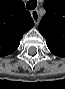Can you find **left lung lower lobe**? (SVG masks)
<instances>
[{
	"instance_id": "0a47b994",
	"label": "left lung lower lobe",
	"mask_w": 65,
	"mask_h": 89,
	"mask_svg": "<svg viewBox=\"0 0 65 89\" xmlns=\"http://www.w3.org/2000/svg\"><path fill=\"white\" fill-rule=\"evenodd\" d=\"M47 46L54 55L65 57V46L57 44H47Z\"/></svg>"
}]
</instances>
